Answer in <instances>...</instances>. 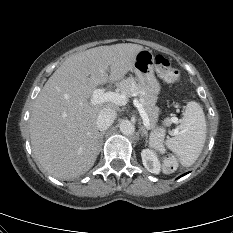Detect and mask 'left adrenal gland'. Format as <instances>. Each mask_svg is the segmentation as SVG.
Listing matches in <instances>:
<instances>
[{
	"mask_svg": "<svg viewBox=\"0 0 233 233\" xmlns=\"http://www.w3.org/2000/svg\"><path fill=\"white\" fill-rule=\"evenodd\" d=\"M141 136H145L146 137V142H148V131L146 130V128L144 126L141 127Z\"/></svg>",
	"mask_w": 233,
	"mask_h": 233,
	"instance_id": "1",
	"label": "left adrenal gland"
}]
</instances>
